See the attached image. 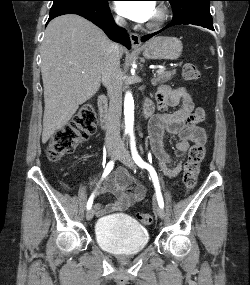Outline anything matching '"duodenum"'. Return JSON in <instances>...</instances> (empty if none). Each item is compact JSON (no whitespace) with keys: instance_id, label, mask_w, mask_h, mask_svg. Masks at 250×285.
Masks as SVG:
<instances>
[{"instance_id":"410a0bca","label":"duodenum","mask_w":250,"mask_h":285,"mask_svg":"<svg viewBox=\"0 0 250 285\" xmlns=\"http://www.w3.org/2000/svg\"><path fill=\"white\" fill-rule=\"evenodd\" d=\"M99 116L102 127H106L108 121V101L106 96L101 95L98 99ZM146 116L150 114V108L147 106L144 110Z\"/></svg>"}]
</instances>
